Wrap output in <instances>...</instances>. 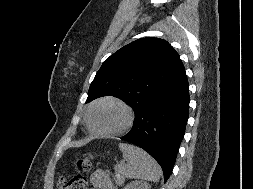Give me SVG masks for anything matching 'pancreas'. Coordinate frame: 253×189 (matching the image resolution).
Here are the masks:
<instances>
[{
  "instance_id": "pancreas-1",
  "label": "pancreas",
  "mask_w": 253,
  "mask_h": 189,
  "mask_svg": "<svg viewBox=\"0 0 253 189\" xmlns=\"http://www.w3.org/2000/svg\"><path fill=\"white\" fill-rule=\"evenodd\" d=\"M113 180L118 186H122L125 181V173L122 169H116Z\"/></svg>"
}]
</instances>
